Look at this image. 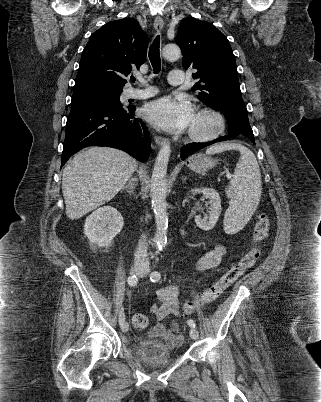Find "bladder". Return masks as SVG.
<instances>
[{
	"label": "bladder",
	"mask_w": 321,
	"mask_h": 402,
	"mask_svg": "<svg viewBox=\"0 0 321 402\" xmlns=\"http://www.w3.org/2000/svg\"><path fill=\"white\" fill-rule=\"evenodd\" d=\"M135 354L147 364H162L171 362L175 354L163 342L154 339L151 331H148L138 342L135 348Z\"/></svg>",
	"instance_id": "bladder-1"
}]
</instances>
